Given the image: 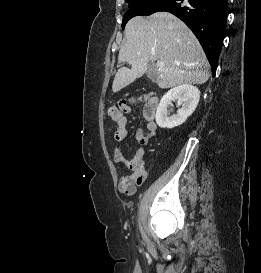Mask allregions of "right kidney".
Masks as SVG:
<instances>
[{
    "label": "right kidney",
    "instance_id": "right-kidney-1",
    "mask_svg": "<svg viewBox=\"0 0 261 273\" xmlns=\"http://www.w3.org/2000/svg\"><path fill=\"white\" fill-rule=\"evenodd\" d=\"M200 99V91L190 84H183L170 89L161 99L156 112V123L161 128L172 129L183 124L186 119L195 111ZM177 101L181 106L177 114L168 116L167 108Z\"/></svg>",
    "mask_w": 261,
    "mask_h": 273
}]
</instances>
